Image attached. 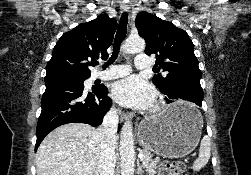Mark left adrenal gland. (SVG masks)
Masks as SVG:
<instances>
[{
  "instance_id": "left-adrenal-gland-1",
  "label": "left adrenal gland",
  "mask_w": 251,
  "mask_h": 175,
  "mask_svg": "<svg viewBox=\"0 0 251 175\" xmlns=\"http://www.w3.org/2000/svg\"><path fill=\"white\" fill-rule=\"evenodd\" d=\"M144 169H142V165L139 161V159H137V173L138 175H141V173H143Z\"/></svg>"
}]
</instances>
